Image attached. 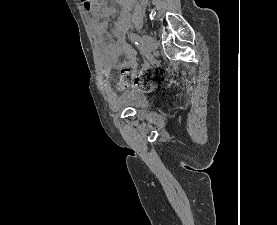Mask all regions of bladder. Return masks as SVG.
Instances as JSON below:
<instances>
[{"label":"bladder","mask_w":277,"mask_h":225,"mask_svg":"<svg viewBox=\"0 0 277 225\" xmlns=\"http://www.w3.org/2000/svg\"><path fill=\"white\" fill-rule=\"evenodd\" d=\"M149 106L146 95L137 90H129L121 97L118 108H133L136 111H144Z\"/></svg>","instance_id":"obj_1"}]
</instances>
